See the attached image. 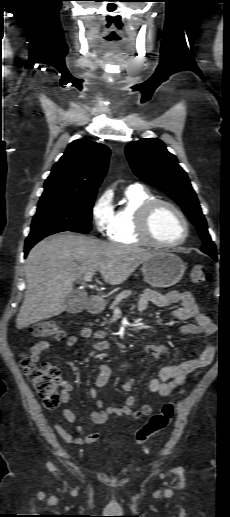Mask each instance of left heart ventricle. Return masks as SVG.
<instances>
[{
  "instance_id": "1",
  "label": "left heart ventricle",
  "mask_w": 230,
  "mask_h": 517,
  "mask_svg": "<svg viewBox=\"0 0 230 517\" xmlns=\"http://www.w3.org/2000/svg\"><path fill=\"white\" fill-rule=\"evenodd\" d=\"M154 237L165 243L178 241L184 234V225L180 217L169 207L159 206L151 220Z\"/></svg>"
}]
</instances>
